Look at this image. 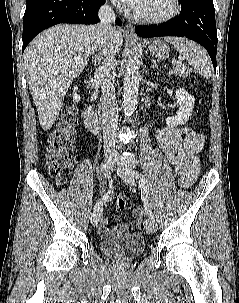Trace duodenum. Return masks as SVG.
Listing matches in <instances>:
<instances>
[{
    "label": "duodenum",
    "mask_w": 239,
    "mask_h": 303,
    "mask_svg": "<svg viewBox=\"0 0 239 303\" xmlns=\"http://www.w3.org/2000/svg\"><path fill=\"white\" fill-rule=\"evenodd\" d=\"M83 118H84V124H85L86 128L89 131H91L92 133H95V134L98 133L99 118L89 103L85 104Z\"/></svg>",
    "instance_id": "obj_1"
}]
</instances>
